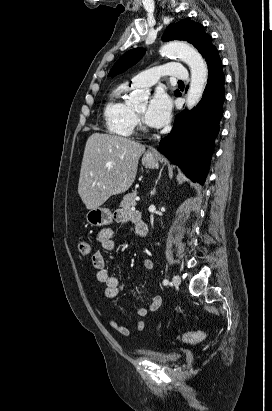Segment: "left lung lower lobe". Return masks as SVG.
Instances as JSON below:
<instances>
[{"label": "left lung lower lobe", "mask_w": 272, "mask_h": 411, "mask_svg": "<svg viewBox=\"0 0 272 411\" xmlns=\"http://www.w3.org/2000/svg\"><path fill=\"white\" fill-rule=\"evenodd\" d=\"M205 61L209 73L202 100L196 108L185 109L176 116L171 132L158 147V151L178 165L188 178L200 184L208 173L225 99V77L218 50L213 49Z\"/></svg>", "instance_id": "1"}]
</instances>
